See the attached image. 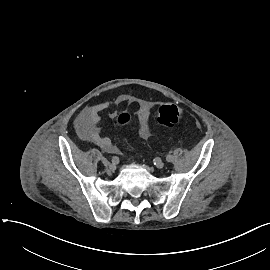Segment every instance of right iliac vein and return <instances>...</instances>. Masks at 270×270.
Instances as JSON below:
<instances>
[{
    "label": "right iliac vein",
    "mask_w": 270,
    "mask_h": 270,
    "mask_svg": "<svg viewBox=\"0 0 270 270\" xmlns=\"http://www.w3.org/2000/svg\"><path fill=\"white\" fill-rule=\"evenodd\" d=\"M101 161H102L103 165H104L105 167H107L110 171H112V170L115 169V165H114V164H111L106 158L103 157V158L101 159Z\"/></svg>",
    "instance_id": "63e3f726"
}]
</instances>
